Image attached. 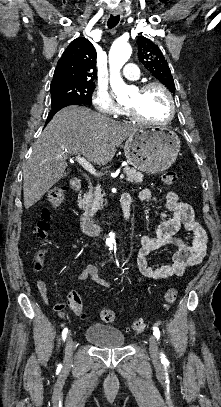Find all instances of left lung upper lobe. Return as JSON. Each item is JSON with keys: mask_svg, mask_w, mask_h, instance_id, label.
Masks as SVG:
<instances>
[{"mask_svg": "<svg viewBox=\"0 0 221 407\" xmlns=\"http://www.w3.org/2000/svg\"><path fill=\"white\" fill-rule=\"evenodd\" d=\"M137 44L139 61L174 94V80L159 47L143 36L138 37Z\"/></svg>", "mask_w": 221, "mask_h": 407, "instance_id": "1", "label": "left lung upper lobe"}]
</instances>
